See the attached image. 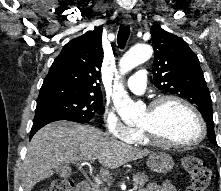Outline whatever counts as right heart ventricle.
Returning a JSON list of instances; mask_svg holds the SVG:
<instances>
[{
	"instance_id": "1",
	"label": "right heart ventricle",
	"mask_w": 221,
	"mask_h": 191,
	"mask_svg": "<svg viewBox=\"0 0 221 191\" xmlns=\"http://www.w3.org/2000/svg\"><path fill=\"white\" fill-rule=\"evenodd\" d=\"M130 143L134 145H141V146H145L149 144L144 134L140 130H137L134 139Z\"/></svg>"
}]
</instances>
